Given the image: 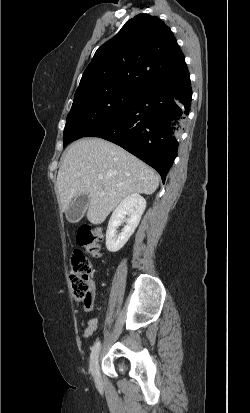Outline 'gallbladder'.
I'll return each instance as SVG.
<instances>
[{"label": "gallbladder", "mask_w": 250, "mask_h": 413, "mask_svg": "<svg viewBox=\"0 0 250 413\" xmlns=\"http://www.w3.org/2000/svg\"><path fill=\"white\" fill-rule=\"evenodd\" d=\"M88 206V195L82 194L77 196L67 208L65 214L66 218L71 223H77L84 216Z\"/></svg>", "instance_id": "bac80fb5"}]
</instances>
